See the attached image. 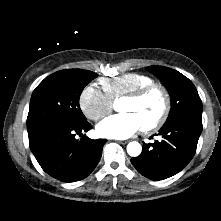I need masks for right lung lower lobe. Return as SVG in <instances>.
Listing matches in <instances>:
<instances>
[{
  "instance_id": "obj_1",
  "label": "right lung lower lobe",
  "mask_w": 221,
  "mask_h": 221,
  "mask_svg": "<svg viewBox=\"0 0 221 221\" xmlns=\"http://www.w3.org/2000/svg\"><path fill=\"white\" fill-rule=\"evenodd\" d=\"M92 128L86 121L52 120L28 131L29 145L42 169L63 182L86 178L97 166L106 140L82 136Z\"/></svg>"
}]
</instances>
